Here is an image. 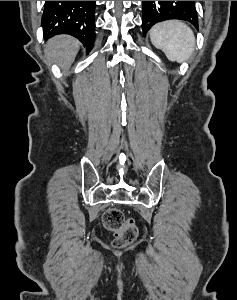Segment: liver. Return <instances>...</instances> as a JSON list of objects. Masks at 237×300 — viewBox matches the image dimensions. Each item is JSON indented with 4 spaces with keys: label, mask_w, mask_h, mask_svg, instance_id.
<instances>
[{
    "label": "liver",
    "mask_w": 237,
    "mask_h": 300,
    "mask_svg": "<svg viewBox=\"0 0 237 300\" xmlns=\"http://www.w3.org/2000/svg\"><path fill=\"white\" fill-rule=\"evenodd\" d=\"M79 47L80 43L74 37L57 35V37L47 41L44 53L47 59H51L53 63H58L63 73H67L79 51Z\"/></svg>",
    "instance_id": "liver-1"
}]
</instances>
